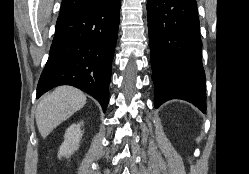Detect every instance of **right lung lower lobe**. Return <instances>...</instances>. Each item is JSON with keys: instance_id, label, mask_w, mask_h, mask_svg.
I'll return each mask as SVG.
<instances>
[{"instance_id": "right-lung-lower-lobe-1", "label": "right lung lower lobe", "mask_w": 249, "mask_h": 174, "mask_svg": "<svg viewBox=\"0 0 249 174\" xmlns=\"http://www.w3.org/2000/svg\"><path fill=\"white\" fill-rule=\"evenodd\" d=\"M119 17L120 0H112L58 18L37 98L55 86L71 85L93 96L105 112Z\"/></svg>"}]
</instances>
